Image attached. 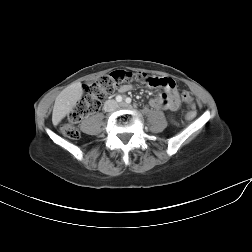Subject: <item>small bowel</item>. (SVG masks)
I'll list each match as a JSON object with an SVG mask.
<instances>
[{"mask_svg": "<svg viewBox=\"0 0 252 252\" xmlns=\"http://www.w3.org/2000/svg\"><path fill=\"white\" fill-rule=\"evenodd\" d=\"M151 87H158L165 90L162 95H157L150 99V105L155 109H169L176 110L180 106L179 94L176 82L171 78L166 77H149ZM131 87L127 86L122 91L130 90Z\"/></svg>", "mask_w": 252, "mask_h": 252, "instance_id": "small-bowel-1", "label": "small bowel"}]
</instances>
